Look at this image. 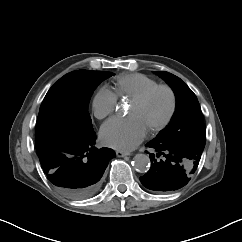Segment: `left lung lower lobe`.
<instances>
[{"label": "left lung lower lobe", "instance_id": "0a47b994", "mask_svg": "<svg viewBox=\"0 0 242 242\" xmlns=\"http://www.w3.org/2000/svg\"><path fill=\"white\" fill-rule=\"evenodd\" d=\"M146 146L156 154L149 153L151 168L140 177V181L156 192L178 190L185 186L195 173L203 152L192 146H170L154 140Z\"/></svg>", "mask_w": 242, "mask_h": 242}]
</instances>
